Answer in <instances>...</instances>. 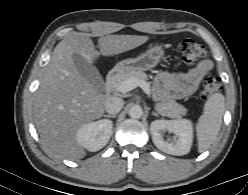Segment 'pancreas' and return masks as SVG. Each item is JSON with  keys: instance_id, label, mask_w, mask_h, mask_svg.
I'll use <instances>...</instances> for the list:
<instances>
[{"instance_id": "1", "label": "pancreas", "mask_w": 248, "mask_h": 195, "mask_svg": "<svg viewBox=\"0 0 248 195\" xmlns=\"http://www.w3.org/2000/svg\"><path fill=\"white\" fill-rule=\"evenodd\" d=\"M136 78L141 81H147L148 77L147 75L142 71H136V72H130V73H124L121 74L112 84L113 87L119 86L122 82L131 79ZM156 111L163 115L168 116L170 118H180L181 115L186 114V109L175 102L174 100L165 102V103H156L155 104Z\"/></svg>"}]
</instances>
